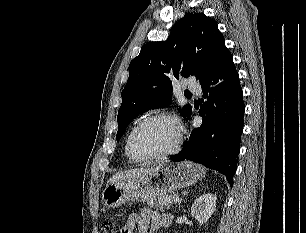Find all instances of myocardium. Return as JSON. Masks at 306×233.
Returning a JSON list of instances; mask_svg holds the SVG:
<instances>
[{
  "mask_svg": "<svg viewBox=\"0 0 306 233\" xmlns=\"http://www.w3.org/2000/svg\"><path fill=\"white\" fill-rule=\"evenodd\" d=\"M159 119H165V120H170L176 124L177 127V139L175 142V145L168 151H165L163 153H157V154H152V155H147V156H140L138 155L134 148H133V139L136 135V133L147 123L153 121V120H159ZM183 142V130L182 127L179 123V120L177 117L169 112H158V113H153L141 121H139L134 128L131 130L127 142H126V152L127 155L132 159L133 161L136 162H146V161H151V160H156V159H162L166 157H170L176 153L179 152Z\"/></svg>",
  "mask_w": 306,
  "mask_h": 233,
  "instance_id": "f54148a6",
  "label": "myocardium"
}]
</instances>
